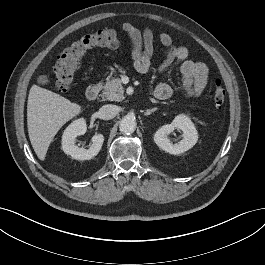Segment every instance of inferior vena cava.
Returning <instances> with one entry per match:
<instances>
[{"label":"inferior vena cava","instance_id":"602c4592","mask_svg":"<svg viewBox=\"0 0 265 265\" xmlns=\"http://www.w3.org/2000/svg\"><path fill=\"white\" fill-rule=\"evenodd\" d=\"M118 113V107L115 105L107 104L99 109L100 118L109 120L114 118Z\"/></svg>","mask_w":265,"mask_h":265}]
</instances>
